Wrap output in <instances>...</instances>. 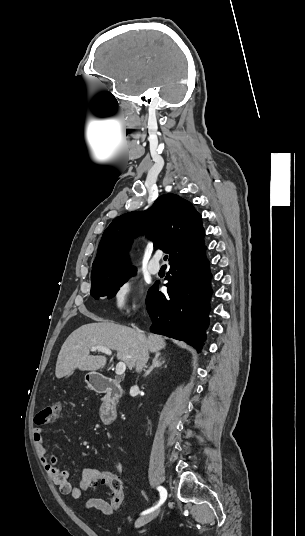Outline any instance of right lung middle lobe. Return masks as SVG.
<instances>
[{
	"label": "right lung middle lobe",
	"instance_id": "dd1d6c3e",
	"mask_svg": "<svg viewBox=\"0 0 305 536\" xmlns=\"http://www.w3.org/2000/svg\"><path fill=\"white\" fill-rule=\"evenodd\" d=\"M135 273L136 270L112 278L91 281V296L96 299L100 296L114 297L119 288Z\"/></svg>",
	"mask_w": 305,
	"mask_h": 536
}]
</instances>
